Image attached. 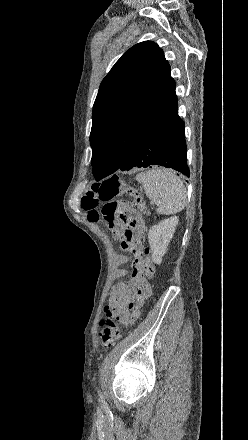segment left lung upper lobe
<instances>
[{"instance_id": "1", "label": "left lung upper lobe", "mask_w": 248, "mask_h": 440, "mask_svg": "<svg viewBox=\"0 0 248 440\" xmlns=\"http://www.w3.org/2000/svg\"><path fill=\"white\" fill-rule=\"evenodd\" d=\"M177 107L175 81L162 49L144 41L126 51L103 79L93 106L95 179L115 172L129 149Z\"/></svg>"}]
</instances>
